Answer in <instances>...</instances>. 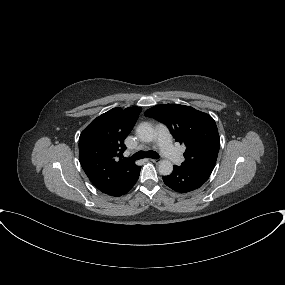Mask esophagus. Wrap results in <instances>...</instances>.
<instances>
[{
    "instance_id": "esophagus-1",
    "label": "esophagus",
    "mask_w": 285,
    "mask_h": 285,
    "mask_svg": "<svg viewBox=\"0 0 285 285\" xmlns=\"http://www.w3.org/2000/svg\"><path fill=\"white\" fill-rule=\"evenodd\" d=\"M150 161H152L153 163H159L160 162L159 159H150Z\"/></svg>"
}]
</instances>
